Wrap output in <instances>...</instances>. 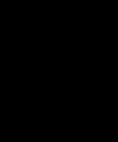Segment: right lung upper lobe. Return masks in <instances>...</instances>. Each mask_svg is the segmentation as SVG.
<instances>
[{"mask_svg":"<svg viewBox=\"0 0 118 142\" xmlns=\"http://www.w3.org/2000/svg\"><path fill=\"white\" fill-rule=\"evenodd\" d=\"M46 55L45 50L23 45L0 58V133H16L37 111L34 78Z\"/></svg>","mask_w":118,"mask_h":142,"instance_id":"right-lung-upper-lobe-1","label":"right lung upper lobe"}]
</instances>
